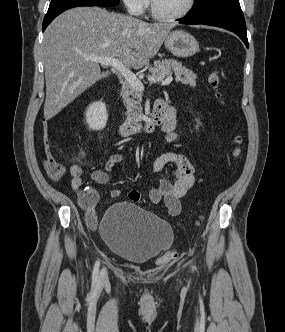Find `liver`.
<instances>
[{
    "label": "liver",
    "instance_id": "liver-1",
    "mask_svg": "<svg viewBox=\"0 0 285 332\" xmlns=\"http://www.w3.org/2000/svg\"><path fill=\"white\" fill-rule=\"evenodd\" d=\"M171 28L99 7H77L59 15L44 33V118H53L110 74L101 73L99 63L88 57L117 58L140 69L158 53Z\"/></svg>",
    "mask_w": 285,
    "mask_h": 332
}]
</instances>
